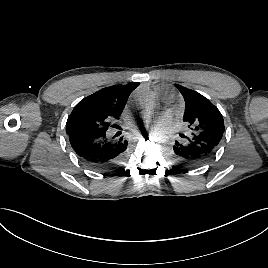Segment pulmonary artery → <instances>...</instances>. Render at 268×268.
<instances>
[{"instance_id":"1","label":"pulmonary artery","mask_w":268,"mask_h":268,"mask_svg":"<svg viewBox=\"0 0 268 268\" xmlns=\"http://www.w3.org/2000/svg\"><path fill=\"white\" fill-rule=\"evenodd\" d=\"M165 101H170L172 99V95L171 94H166L164 97Z\"/></svg>"}]
</instances>
